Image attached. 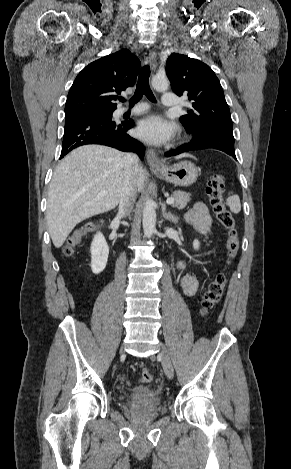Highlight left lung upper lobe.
I'll return each instance as SVG.
<instances>
[{
	"label": "left lung upper lobe",
	"instance_id": "5c2ea615",
	"mask_svg": "<svg viewBox=\"0 0 291 469\" xmlns=\"http://www.w3.org/2000/svg\"><path fill=\"white\" fill-rule=\"evenodd\" d=\"M166 73L173 91L187 94L192 107L180 117L193 135L207 130L232 132V119L220 82L212 69L186 55L172 53L167 59Z\"/></svg>",
	"mask_w": 291,
	"mask_h": 469
}]
</instances>
